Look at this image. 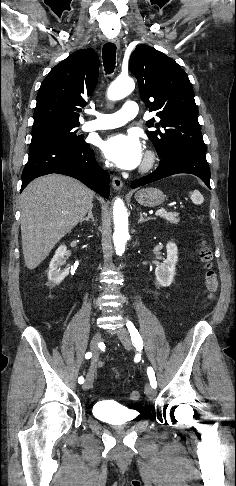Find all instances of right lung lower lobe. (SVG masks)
<instances>
[{
  "label": "right lung lower lobe",
  "instance_id": "right-lung-lower-lobe-1",
  "mask_svg": "<svg viewBox=\"0 0 236 486\" xmlns=\"http://www.w3.org/2000/svg\"><path fill=\"white\" fill-rule=\"evenodd\" d=\"M59 173L74 177L103 197H109V174L102 169L90 145L69 146L52 142L30 144L22 172V190L35 178Z\"/></svg>",
  "mask_w": 236,
  "mask_h": 486
}]
</instances>
